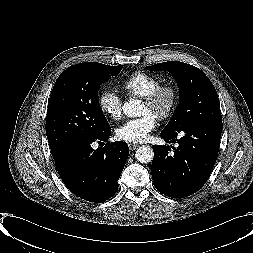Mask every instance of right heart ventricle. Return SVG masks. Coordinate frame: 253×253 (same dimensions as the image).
<instances>
[{"mask_svg":"<svg viewBox=\"0 0 253 253\" xmlns=\"http://www.w3.org/2000/svg\"><path fill=\"white\" fill-rule=\"evenodd\" d=\"M162 85L160 78L138 71L128 77L122 84V88L129 97H145L157 87Z\"/></svg>","mask_w":253,"mask_h":253,"instance_id":"1","label":"right heart ventricle"}]
</instances>
